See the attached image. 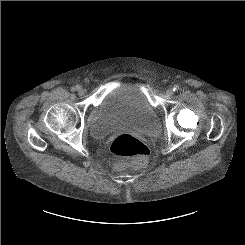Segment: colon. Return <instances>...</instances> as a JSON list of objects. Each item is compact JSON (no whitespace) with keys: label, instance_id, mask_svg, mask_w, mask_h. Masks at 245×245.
Listing matches in <instances>:
<instances>
[{"label":"colon","instance_id":"obj_1","mask_svg":"<svg viewBox=\"0 0 245 245\" xmlns=\"http://www.w3.org/2000/svg\"><path fill=\"white\" fill-rule=\"evenodd\" d=\"M110 151L116 156L129 159L134 168L145 167L150 156L148 146L126 132L120 133L112 139Z\"/></svg>","mask_w":245,"mask_h":245}]
</instances>
